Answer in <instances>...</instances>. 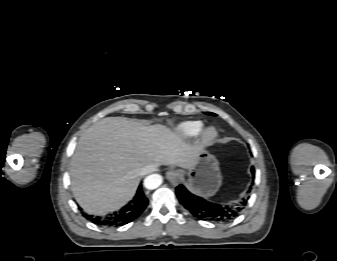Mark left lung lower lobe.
<instances>
[{
    "mask_svg": "<svg viewBox=\"0 0 337 261\" xmlns=\"http://www.w3.org/2000/svg\"><path fill=\"white\" fill-rule=\"evenodd\" d=\"M252 174L255 170L252 167ZM250 189L247 195L238 203L232 205L214 204L190 193L183 185L176 188V194L180 203L196 218L206 221L227 222L239 215L247 205Z\"/></svg>",
    "mask_w": 337,
    "mask_h": 261,
    "instance_id": "0a47b994",
    "label": "left lung lower lobe"
}]
</instances>
